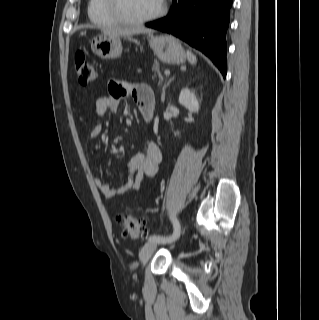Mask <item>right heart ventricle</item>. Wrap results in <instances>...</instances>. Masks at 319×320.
I'll use <instances>...</instances> for the list:
<instances>
[{"label":"right heart ventricle","mask_w":319,"mask_h":320,"mask_svg":"<svg viewBox=\"0 0 319 320\" xmlns=\"http://www.w3.org/2000/svg\"><path fill=\"white\" fill-rule=\"evenodd\" d=\"M88 16L97 26H114L120 24L111 17L106 9V0H89Z\"/></svg>","instance_id":"1"}]
</instances>
